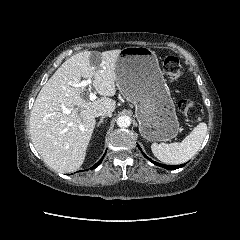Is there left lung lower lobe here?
<instances>
[{
    "mask_svg": "<svg viewBox=\"0 0 240 240\" xmlns=\"http://www.w3.org/2000/svg\"><path fill=\"white\" fill-rule=\"evenodd\" d=\"M138 147H139V149L141 150L140 146H138ZM141 152H142V151H141ZM142 154L144 155V157H146V155H145L143 152H142ZM147 159L150 160V162H152L153 164L158 165V166H161V167L166 168V169H168V170L178 169V168H181V167H183V166L185 165V164H183V165H161V164H159V163L151 160V159L148 158V157H147Z\"/></svg>",
    "mask_w": 240,
    "mask_h": 240,
    "instance_id": "0a47b994",
    "label": "left lung lower lobe"
}]
</instances>
